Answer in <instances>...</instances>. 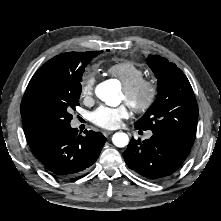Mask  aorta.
<instances>
[{
    "instance_id": "1",
    "label": "aorta",
    "mask_w": 221,
    "mask_h": 221,
    "mask_svg": "<svg viewBox=\"0 0 221 221\" xmlns=\"http://www.w3.org/2000/svg\"><path fill=\"white\" fill-rule=\"evenodd\" d=\"M97 97L108 105H115L117 101L116 91L112 88L109 81L100 83L95 90ZM112 142L117 147H125L129 143V137L126 133L117 132L112 137Z\"/></svg>"
}]
</instances>
